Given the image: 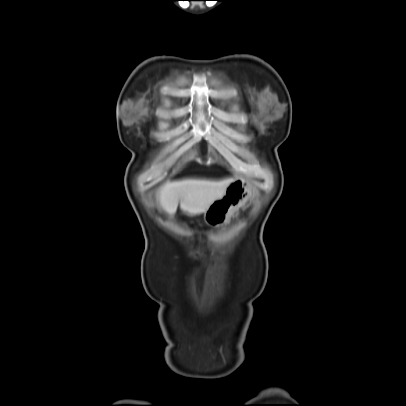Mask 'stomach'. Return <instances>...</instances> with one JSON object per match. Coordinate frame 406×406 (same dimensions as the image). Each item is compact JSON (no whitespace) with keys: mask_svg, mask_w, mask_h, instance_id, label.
<instances>
[{"mask_svg":"<svg viewBox=\"0 0 406 406\" xmlns=\"http://www.w3.org/2000/svg\"><path fill=\"white\" fill-rule=\"evenodd\" d=\"M252 196V187L243 178H235L222 198L214 201L204 212V221L212 227L227 224L232 215L243 207Z\"/></svg>","mask_w":406,"mask_h":406,"instance_id":"obj_1","label":"stomach"}]
</instances>
